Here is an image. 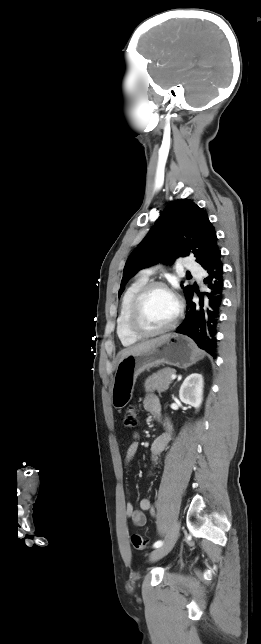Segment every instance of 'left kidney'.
<instances>
[{
    "label": "left kidney",
    "instance_id": "1",
    "mask_svg": "<svg viewBox=\"0 0 261 644\" xmlns=\"http://www.w3.org/2000/svg\"><path fill=\"white\" fill-rule=\"evenodd\" d=\"M179 398L195 409H199L203 400V377L201 374L193 373L182 383L179 390Z\"/></svg>",
    "mask_w": 261,
    "mask_h": 644
}]
</instances>
